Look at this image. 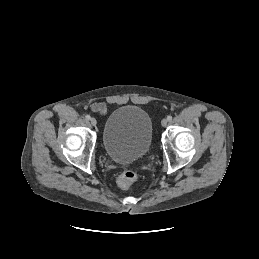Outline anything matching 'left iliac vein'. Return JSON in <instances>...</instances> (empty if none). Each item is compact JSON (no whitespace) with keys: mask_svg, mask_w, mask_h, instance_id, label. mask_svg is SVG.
<instances>
[{"mask_svg":"<svg viewBox=\"0 0 259 259\" xmlns=\"http://www.w3.org/2000/svg\"><path fill=\"white\" fill-rule=\"evenodd\" d=\"M167 124H168V120H167V119H163V120L161 121V125H162L163 127H166Z\"/></svg>","mask_w":259,"mask_h":259,"instance_id":"left-iliac-vein-1","label":"left iliac vein"}]
</instances>
